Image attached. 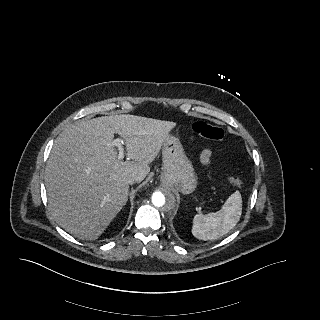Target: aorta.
I'll use <instances>...</instances> for the list:
<instances>
[{
    "instance_id": "1",
    "label": "aorta",
    "mask_w": 320,
    "mask_h": 320,
    "mask_svg": "<svg viewBox=\"0 0 320 320\" xmlns=\"http://www.w3.org/2000/svg\"><path fill=\"white\" fill-rule=\"evenodd\" d=\"M176 207V198L169 189L159 190L151 197L150 210L158 218L169 212H173Z\"/></svg>"
}]
</instances>
